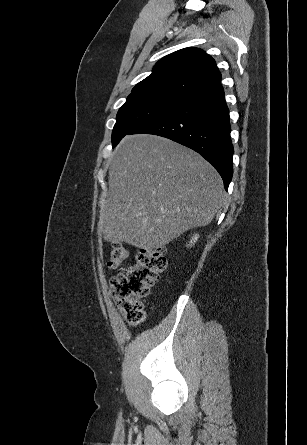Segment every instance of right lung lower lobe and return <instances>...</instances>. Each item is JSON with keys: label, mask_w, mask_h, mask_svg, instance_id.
I'll use <instances>...</instances> for the list:
<instances>
[{"label": "right lung lower lobe", "mask_w": 307, "mask_h": 445, "mask_svg": "<svg viewBox=\"0 0 307 445\" xmlns=\"http://www.w3.org/2000/svg\"><path fill=\"white\" fill-rule=\"evenodd\" d=\"M230 131L229 110L219 83L128 134L159 135L195 150L216 168L227 190L233 175Z\"/></svg>", "instance_id": "right-lung-lower-lobe-1"}]
</instances>
